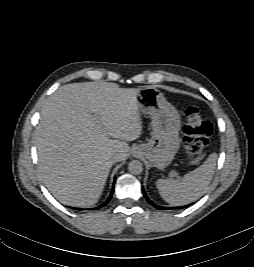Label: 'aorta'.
<instances>
[{
	"mask_svg": "<svg viewBox=\"0 0 254 267\" xmlns=\"http://www.w3.org/2000/svg\"><path fill=\"white\" fill-rule=\"evenodd\" d=\"M128 171L133 175H138L143 171V165L139 160H132L128 164Z\"/></svg>",
	"mask_w": 254,
	"mask_h": 267,
	"instance_id": "aorta-1",
	"label": "aorta"
}]
</instances>
